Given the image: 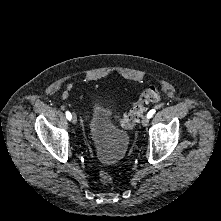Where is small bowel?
<instances>
[{"mask_svg": "<svg viewBox=\"0 0 221 221\" xmlns=\"http://www.w3.org/2000/svg\"><path fill=\"white\" fill-rule=\"evenodd\" d=\"M162 85L167 86V83L163 82ZM71 89H72V84H68L66 86V91L63 93V99L64 100L69 97V93H70Z\"/></svg>", "mask_w": 221, "mask_h": 221, "instance_id": "1", "label": "small bowel"}]
</instances>
